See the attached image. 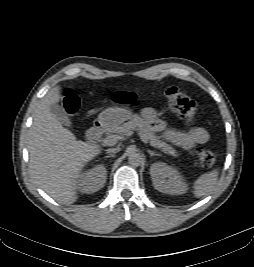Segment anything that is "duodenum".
Returning <instances> with one entry per match:
<instances>
[{
    "label": "duodenum",
    "instance_id": "410a0bca",
    "mask_svg": "<svg viewBox=\"0 0 254 267\" xmlns=\"http://www.w3.org/2000/svg\"><path fill=\"white\" fill-rule=\"evenodd\" d=\"M104 132V125L101 122H96L86 133V138L90 142H96L100 139Z\"/></svg>",
    "mask_w": 254,
    "mask_h": 267
}]
</instances>
